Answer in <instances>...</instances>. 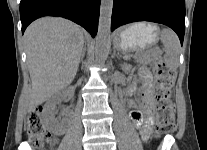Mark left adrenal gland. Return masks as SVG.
<instances>
[{"instance_id":"left-adrenal-gland-1","label":"left adrenal gland","mask_w":207,"mask_h":150,"mask_svg":"<svg viewBox=\"0 0 207 150\" xmlns=\"http://www.w3.org/2000/svg\"><path fill=\"white\" fill-rule=\"evenodd\" d=\"M112 57H117L118 59L121 58V56L119 54L116 53V49H114Z\"/></svg>"}]
</instances>
